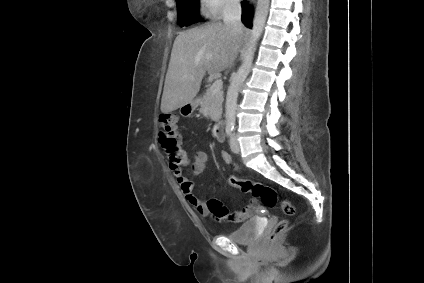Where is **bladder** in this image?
<instances>
[{
    "label": "bladder",
    "mask_w": 424,
    "mask_h": 283,
    "mask_svg": "<svg viewBox=\"0 0 424 283\" xmlns=\"http://www.w3.org/2000/svg\"><path fill=\"white\" fill-rule=\"evenodd\" d=\"M260 234V226L256 219H250L236 230L227 235V238L237 244H251Z\"/></svg>",
    "instance_id": "31cf9c89"
}]
</instances>
